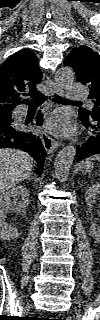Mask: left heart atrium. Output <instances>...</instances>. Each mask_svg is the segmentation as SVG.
<instances>
[{
	"mask_svg": "<svg viewBox=\"0 0 100 320\" xmlns=\"http://www.w3.org/2000/svg\"><path fill=\"white\" fill-rule=\"evenodd\" d=\"M45 128L49 132L60 136H71L74 133L71 121L63 111L52 113L45 122Z\"/></svg>",
	"mask_w": 100,
	"mask_h": 320,
	"instance_id": "left-heart-atrium-1",
	"label": "left heart atrium"
}]
</instances>
